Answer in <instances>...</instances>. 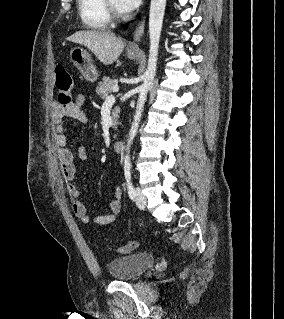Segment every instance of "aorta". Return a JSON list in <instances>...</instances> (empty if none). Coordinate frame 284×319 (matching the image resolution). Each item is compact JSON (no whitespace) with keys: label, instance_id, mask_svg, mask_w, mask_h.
Listing matches in <instances>:
<instances>
[{"label":"aorta","instance_id":"762f6f07","mask_svg":"<svg viewBox=\"0 0 284 319\" xmlns=\"http://www.w3.org/2000/svg\"><path fill=\"white\" fill-rule=\"evenodd\" d=\"M166 0H151L149 12V57L146 71L143 75V83L139 87V97L137 100L135 115L129 131L126 146L125 159L129 158V150L134 140L141 120L143 108L147 99V94L152 86L156 75L159 42L162 31L163 18L165 13Z\"/></svg>","mask_w":284,"mask_h":319}]
</instances>
